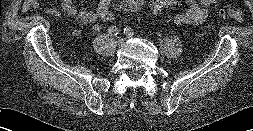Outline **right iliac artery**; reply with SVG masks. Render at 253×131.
I'll list each match as a JSON object with an SVG mask.
<instances>
[{"label":"right iliac artery","mask_w":253,"mask_h":131,"mask_svg":"<svg viewBox=\"0 0 253 131\" xmlns=\"http://www.w3.org/2000/svg\"><path fill=\"white\" fill-rule=\"evenodd\" d=\"M109 34L117 36L119 34V30L116 26H110L108 29Z\"/></svg>","instance_id":"obj_1"}]
</instances>
